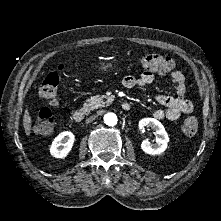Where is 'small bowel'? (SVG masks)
<instances>
[{"label":"small bowel","instance_id":"obj_1","mask_svg":"<svg viewBox=\"0 0 221 221\" xmlns=\"http://www.w3.org/2000/svg\"><path fill=\"white\" fill-rule=\"evenodd\" d=\"M154 75L149 72H144L140 77L125 76L122 80V85L127 88L143 87L152 83ZM171 80L175 96L159 94L156 96L157 102L161 105L160 108L153 112V117L159 120H176L181 115L190 114L193 112V103L186 99V76L180 70L171 72Z\"/></svg>","mask_w":221,"mask_h":221}]
</instances>
